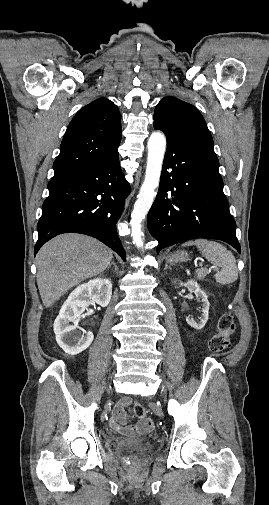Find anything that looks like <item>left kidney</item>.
Wrapping results in <instances>:
<instances>
[{
    "label": "left kidney",
    "instance_id": "1",
    "mask_svg": "<svg viewBox=\"0 0 269 505\" xmlns=\"http://www.w3.org/2000/svg\"><path fill=\"white\" fill-rule=\"evenodd\" d=\"M180 286L184 285L188 288V290L195 294L198 300L202 302V315L199 318V321L194 320L193 318L187 317L186 322L189 326L194 329L200 330L202 329L208 321L209 317V302L206 293L200 288L198 283L194 280H189L186 283H179Z\"/></svg>",
    "mask_w": 269,
    "mask_h": 505
}]
</instances>
